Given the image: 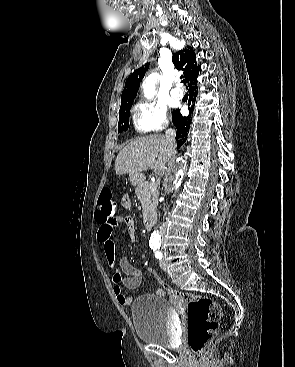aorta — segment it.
Returning a JSON list of instances; mask_svg holds the SVG:
<instances>
[{"instance_id": "aorta-1", "label": "aorta", "mask_w": 295, "mask_h": 367, "mask_svg": "<svg viewBox=\"0 0 295 367\" xmlns=\"http://www.w3.org/2000/svg\"><path fill=\"white\" fill-rule=\"evenodd\" d=\"M154 79H155V75H151L149 76L145 83H144V93H145V96L147 98H151L152 95H153V91H154ZM176 179L174 181V183L177 182V179L181 176L182 177V170H179L177 173H176ZM151 240L152 241H156V242H159L161 241V236L159 234L158 231H154L151 235Z\"/></svg>"}]
</instances>
